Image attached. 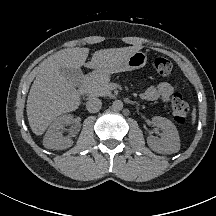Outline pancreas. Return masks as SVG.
Masks as SVG:
<instances>
[{
    "instance_id": "pancreas-1",
    "label": "pancreas",
    "mask_w": 216,
    "mask_h": 216,
    "mask_svg": "<svg viewBox=\"0 0 216 216\" xmlns=\"http://www.w3.org/2000/svg\"><path fill=\"white\" fill-rule=\"evenodd\" d=\"M109 76H98L87 84V93L92 97L109 96L111 89L109 86Z\"/></svg>"
}]
</instances>
